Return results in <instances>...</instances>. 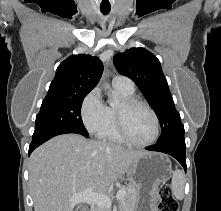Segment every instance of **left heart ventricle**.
I'll return each instance as SVG.
<instances>
[{
	"label": "left heart ventricle",
	"instance_id": "left-heart-ventricle-1",
	"mask_svg": "<svg viewBox=\"0 0 221 211\" xmlns=\"http://www.w3.org/2000/svg\"><path fill=\"white\" fill-rule=\"evenodd\" d=\"M118 109H123V103ZM125 119L130 136L137 142H147L154 136V120L150 112L136 106L125 111Z\"/></svg>",
	"mask_w": 221,
	"mask_h": 211
}]
</instances>
